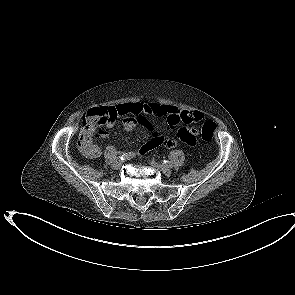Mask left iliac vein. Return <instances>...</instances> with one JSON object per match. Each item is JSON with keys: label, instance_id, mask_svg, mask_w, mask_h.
Wrapping results in <instances>:
<instances>
[{"label": "left iliac vein", "instance_id": "1", "mask_svg": "<svg viewBox=\"0 0 295 295\" xmlns=\"http://www.w3.org/2000/svg\"><path fill=\"white\" fill-rule=\"evenodd\" d=\"M150 164H151L153 167H155V168L161 170V171H162L164 174H166V175H171V173H172V171H171V169H170L169 166L161 165V164H159V163H157V162H155V161H151Z\"/></svg>", "mask_w": 295, "mask_h": 295}]
</instances>
